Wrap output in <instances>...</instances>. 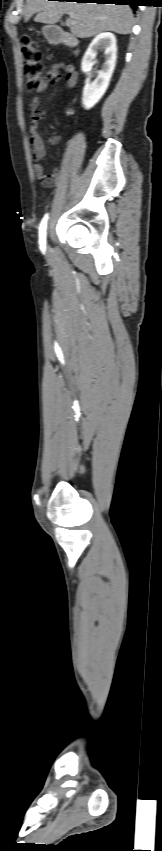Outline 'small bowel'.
I'll list each match as a JSON object with an SVG mask.
<instances>
[{
  "mask_svg": "<svg viewBox=\"0 0 162 851\" xmlns=\"http://www.w3.org/2000/svg\"><path fill=\"white\" fill-rule=\"evenodd\" d=\"M60 69H63L66 72V84L69 87H74L77 84L79 71L76 68H73L71 65L68 64L52 66L47 72V77L41 78L37 83V86L35 88L36 92L31 103V106L34 111L31 113L29 118V145L31 149L32 159L34 161V173L38 179L48 185L52 184L56 180L57 175L47 174L44 165L41 162L42 158L45 155V145L42 137L38 133V122L43 117V113L36 109L39 106L40 94L47 89L49 80H56L58 78V73ZM49 143L52 146H56L59 143V137H51Z\"/></svg>",
  "mask_w": 162,
  "mask_h": 851,
  "instance_id": "obj_1",
  "label": "small bowel"
}]
</instances>
